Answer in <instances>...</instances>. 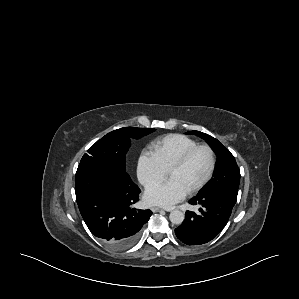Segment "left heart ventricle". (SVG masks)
I'll return each instance as SVG.
<instances>
[{"label": "left heart ventricle", "instance_id": "left-heart-ventricle-1", "mask_svg": "<svg viewBox=\"0 0 299 299\" xmlns=\"http://www.w3.org/2000/svg\"><path fill=\"white\" fill-rule=\"evenodd\" d=\"M209 167V152L206 149H200L191 156L185 166L172 172L169 178L177 181L188 191L206 176Z\"/></svg>", "mask_w": 299, "mask_h": 299}]
</instances>
